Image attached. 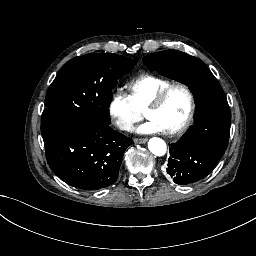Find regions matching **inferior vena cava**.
Segmentation results:
<instances>
[{"instance_id": "obj_1", "label": "inferior vena cava", "mask_w": 256, "mask_h": 256, "mask_svg": "<svg viewBox=\"0 0 256 256\" xmlns=\"http://www.w3.org/2000/svg\"><path fill=\"white\" fill-rule=\"evenodd\" d=\"M117 126L119 127L120 130L130 131L132 124L130 122H126L124 120H118Z\"/></svg>"}]
</instances>
